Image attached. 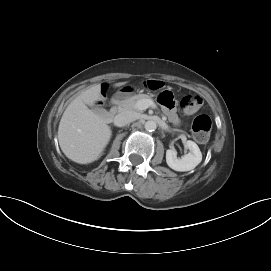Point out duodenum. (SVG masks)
I'll return each mask as SVG.
<instances>
[{
  "mask_svg": "<svg viewBox=\"0 0 271 271\" xmlns=\"http://www.w3.org/2000/svg\"><path fill=\"white\" fill-rule=\"evenodd\" d=\"M122 99H123L122 94H118L113 98L112 106L110 107V109L107 112V119L108 120H112L114 118V116L117 113L118 105H119V103L121 102Z\"/></svg>",
  "mask_w": 271,
  "mask_h": 271,
  "instance_id": "1",
  "label": "duodenum"
}]
</instances>
